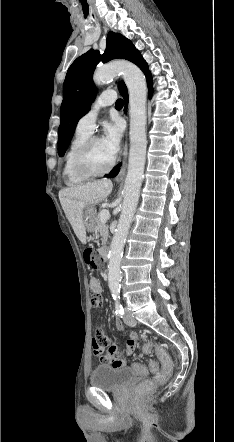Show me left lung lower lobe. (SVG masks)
<instances>
[{
    "instance_id": "left-lung-lower-lobe-1",
    "label": "left lung lower lobe",
    "mask_w": 234,
    "mask_h": 442,
    "mask_svg": "<svg viewBox=\"0 0 234 442\" xmlns=\"http://www.w3.org/2000/svg\"><path fill=\"white\" fill-rule=\"evenodd\" d=\"M140 69L144 72V74H145L146 77H147V82H148V84H149V94L151 95V93H152L151 74H150V72H149V69H148L147 63H146L145 61L141 64ZM119 91H120L121 95L123 96V98H124V100H125V110H126V109H127V104H128V92H127V88H126V86L123 85V86L119 89ZM119 170H120V164L117 165V166L111 171V173H110L109 175H107L106 177H107V178L115 177V176L118 174Z\"/></svg>"
}]
</instances>
